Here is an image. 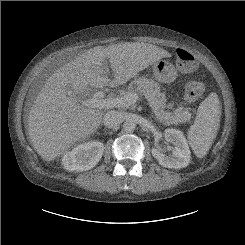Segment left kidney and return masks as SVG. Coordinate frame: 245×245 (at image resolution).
Returning <instances> with one entry per match:
<instances>
[{"mask_svg": "<svg viewBox=\"0 0 245 245\" xmlns=\"http://www.w3.org/2000/svg\"><path fill=\"white\" fill-rule=\"evenodd\" d=\"M164 137L167 142L172 143V155L167 156L156 148H152L151 153L158 163L166 168L180 169L188 166L191 159V152L187 140L183 133L176 129H166Z\"/></svg>", "mask_w": 245, "mask_h": 245, "instance_id": "obj_1", "label": "left kidney"}]
</instances>
